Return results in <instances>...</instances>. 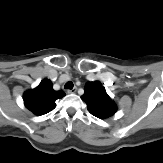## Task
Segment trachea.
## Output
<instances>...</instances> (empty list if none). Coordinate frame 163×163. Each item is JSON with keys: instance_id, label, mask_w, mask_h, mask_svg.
Instances as JSON below:
<instances>
[{"instance_id": "obj_1", "label": "trachea", "mask_w": 163, "mask_h": 163, "mask_svg": "<svg viewBox=\"0 0 163 163\" xmlns=\"http://www.w3.org/2000/svg\"><path fill=\"white\" fill-rule=\"evenodd\" d=\"M73 82L69 81L67 82L65 85H64V88L65 89H72L73 88Z\"/></svg>"}]
</instances>
